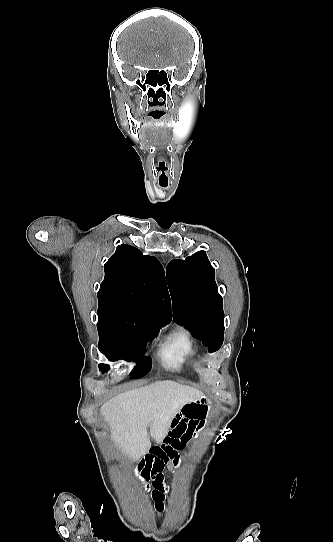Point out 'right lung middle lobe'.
Returning a JSON list of instances; mask_svg holds the SVG:
<instances>
[{
	"instance_id": "dd1d6c3e",
	"label": "right lung middle lobe",
	"mask_w": 333,
	"mask_h": 542,
	"mask_svg": "<svg viewBox=\"0 0 333 542\" xmlns=\"http://www.w3.org/2000/svg\"><path fill=\"white\" fill-rule=\"evenodd\" d=\"M99 350L109 360H133L137 363L131 378H140L151 370V358L143 357L149 337L157 335L163 326L151 328L144 319L111 312H98ZM102 372L108 365L99 364Z\"/></svg>"
}]
</instances>
